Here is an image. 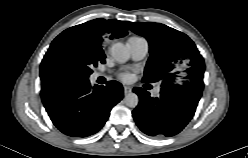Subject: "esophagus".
Segmentation results:
<instances>
[{
    "label": "esophagus",
    "instance_id": "1",
    "mask_svg": "<svg viewBox=\"0 0 248 158\" xmlns=\"http://www.w3.org/2000/svg\"><path fill=\"white\" fill-rule=\"evenodd\" d=\"M123 88H124V94L125 95L128 94V93H130L132 91V88L129 87V86H124Z\"/></svg>",
    "mask_w": 248,
    "mask_h": 158
}]
</instances>
